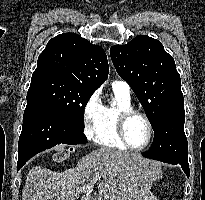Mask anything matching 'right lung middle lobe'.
<instances>
[{
	"mask_svg": "<svg viewBox=\"0 0 205 200\" xmlns=\"http://www.w3.org/2000/svg\"><path fill=\"white\" fill-rule=\"evenodd\" d=\"M94 90L56 77L31 79L27 102L37 101L84 131V108Z\"/></svg>",
	"mask_w": 205,
	"mask_h": 200,
	"instance_id": "1",
	"label": "right lung middle lobe"
}]
</instances>
